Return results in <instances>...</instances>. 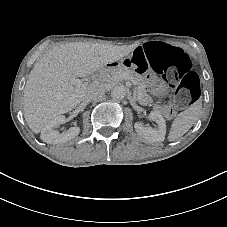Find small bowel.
I'll return each instance as SVG.
<instances>
[{
  "mask_svg": "<svg viewBox=\"0 0 227 227\" xmlns=\"http://www.w3.org/2000/svg\"><path fill=\"white\" fill-rule=\"evenodd\" d=\"M134 54L140 55V57H141L142 59H144L146 65L149 66V65H148V61H147V56H146V53H145L144 45H143V46H140V47H138V48H136L135 51H134V53H133V55H134Z\"/></svg>",
  "mask_w": 227,
  "mask_h": 227,
  "instance_id": "c3829d8e",
  "label": "small bowel"
}]
</instances>
